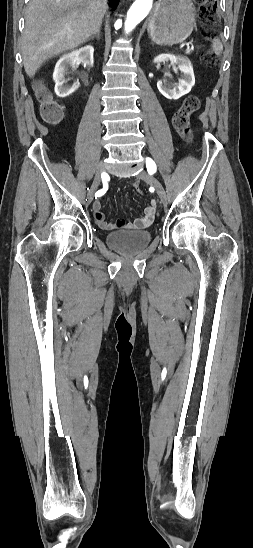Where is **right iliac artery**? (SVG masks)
Listing matches in <instances>:
<instances>
[{"label": "right iliac artery", "mask_w": 253, "mask_h": 548, "mask_svg": "<svg viewBox=\"0 0 253 548\" xmlns=\"http://www.w3.org/2000/svg\"><path fill=\"white\" fill-rule=\"evenodd\" d=\"M102 179H103V182H104V186H103V189L96 192V194H95L96 198L99 197V196H102L106 192V189H105L106 182H105V174L104 173L102 174Z\"/></svg>", "instance_id": "1"}]
</instances>
